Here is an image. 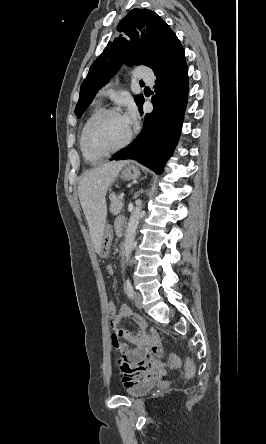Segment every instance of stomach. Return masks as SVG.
<instances>
[{
  "label": "stomach",
  "instance_id": "1",
  "mask_svg": "<svg viewBox=\"0 0 266 444\" xmlns=\"http://www.w3.org/2000/svg\"><path fill=\"white\" fill-rule=\"evenodd\" d=\"M139 176H140V170L138 169L137 166L133 164L126 165L120 174V177L127 181L136 179ZM112 239H113L112 229L110 228V226L106 225L103 231V238L100 248L101 255L105 256L108 254V250L111 245Z\"/></svg>",
  "mask_w": 266,
  "mask_h": 444
}]
</instances>
